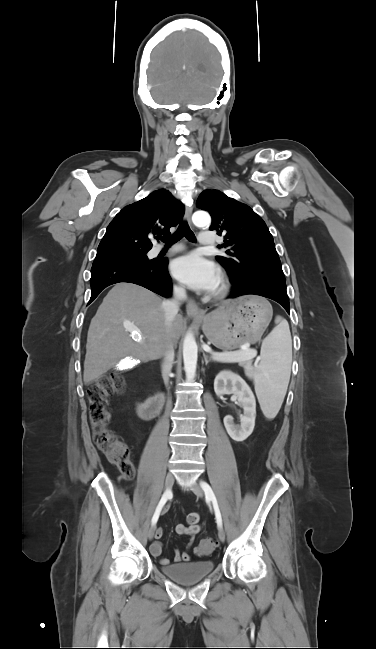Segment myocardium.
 I'll return each mask as SVG.
<instances>
[{
  "mask_svg": "<svg viewBox=\"0 0 376 649\" xmlns=\"http://www.w3.org/2000/svg\"><path fill=\"white\" fill-rule=\"evenodd\" d=\"M228 291H229V282L225 277V275H221L219 278V283L212 293V297L214 299H222L223 297L226 296Z\"/></svg>",
  "mask_w": 376,
  "mask_h": 649,
  "instance_id": "obj_1",
  "label": "myocardium"
}]
</instances>
